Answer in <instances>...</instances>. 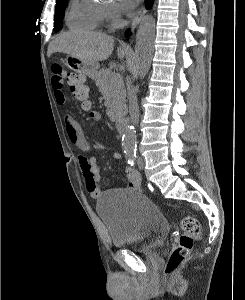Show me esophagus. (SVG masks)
Wrapping results in <instances>:
<instances>
[{
  "mask_svg": "<svg viewBox=\"0 0 245 300\" xmlns=\"http://www.w3.org/2000/svg\"><path fill=\"white\" fill-rule=\"evenodd\" d=\"M146 10L144 7H141L138 12L136 13L132 23H131V30L133 31L136 26L139 24V22L142 20Z\"/></svg>",
  "mask_w": 245,
  "mask_h": 300,
  "instance_id": "esophagus-1",
  "label": "esophagus"
}]
</instances>
